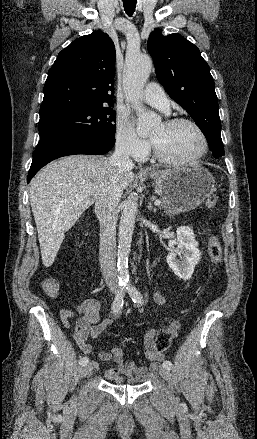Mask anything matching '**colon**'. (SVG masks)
Masks as SVG:
<instances>
[{"label":"colon","mask_w":257,"mask_h":439,"mask_svg":"<svg viewBox=\"0 0 257 439\" xmlns=\"http://www.w3.org/2000/svg\"><path fill=\"white\" fill-rule=\"evenodd\" d=\"M217 202L218 196L212 194L206 199L205 205L208 209H212L217 205ZM208 253L211 262L216 266L219 265L222 259V248L217 235L213 232L210 234L209 238ZM44 286L48 294H54L58 290V283L55 280L46 281ZM178 329L179 323L178 321H174L169 328L157 331L155 337V348L157 351L162 352L168 348Z\"/></svg>","instance_id":"obj_1"}]
</instances>
